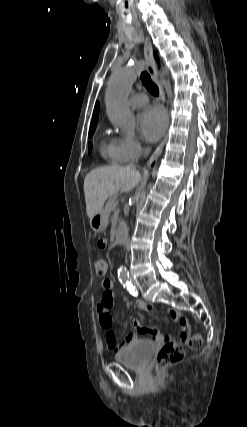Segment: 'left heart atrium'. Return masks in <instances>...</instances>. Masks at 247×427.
Returning a JSON list of instances; mask_svg holds the SVG:
<instances>
[{"label": "left heart atrium", "mask_w": 247, "mask_h": 427, "mask_svg": "<svg viewBox=\"0 0 247 427\" xmlns=\"http://www.w3.org/2000/svg\"><path fill=\"white\" fill-rule=\"evenodd\" d=\"M166 124L164 113L157 107L147 108L139 117L141 134L150 142H155L162 136Z\"/></svg>", "instance_id": "39dd6f15"}]
</instances>
